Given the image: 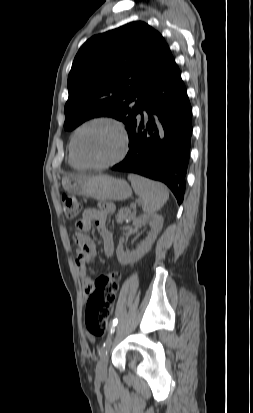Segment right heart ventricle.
I'll return each instance as SVG.
<instances>
[{
	"instance_id": "1",
	"label": "right heart ventricle",
	"mask_w": 253,
	"mask_h": 413,
	"mask_svg": "<svg viewBox=\"0 0 253 413\" xmlns=\"http://www.w3.org/2000/svg\"><path fill=\"white\" fill-rule=\"evenodd\" d=\"M69 163H70V165H71L72 167H74V168H80V166L74 161V159H73V157H72V155H71L70 148H69Z\"/></svg>"
}]
</instances>
